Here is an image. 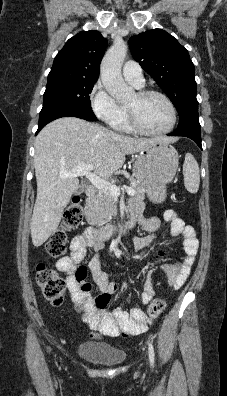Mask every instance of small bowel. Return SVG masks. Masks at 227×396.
<instances>
[{
    "label": "small bowel",
    "mask_w": 227,
    "mask_h": 396,
    "mask_svg": "<svg viewBox=\"0 0 227 396\" xmlns=\"http://www.w3.org/2000/svg\"><path fill=\"white\" fill-rule=\"evenodd\" d=\"M131 216L136 220L143 230L147 232L158 231L162 227V222L154 216H145L143 214V203L134 199L130 202ZM163 221L169 223L171 232L174 236L182 237L185 256L181 263L166 264L161 268V272L166 276L168 284L178 289L186 281L190 274L195 257L198 253L199 242L194 228L186 225L185 222L177 215L174 210H166L163 214ZM93 230L87 229L83 233L76 235L70 245V255L59 259L56 263L57 269L66 275V282L72 301L76 305H81L90 310L85 317V322L91 329V337L98 339L99 335L110 337H131L144 333L153 317L138 308H133L129 312L117 308L114 311L105 309L112 294L116 293L119 285L111 282L108 276L101 269L99 256L92 258L88 265L83 261L87 254L88 247H94L96 252L103 248L102 244H94L90 239ZM156 236L135 237L133 246L136 251H142L152 245ZM165 251L157 248L154 260L158 261L163 258ZM90 271L93 275L94 282L101 291L94 301L92 299V286L86 281ZM155 272H149L143 283V290L140 295V302L148 305L153 300ZM98 307L97 309L95 308Z\"/></svg>",
    "instance_id": "c3829d8e"
}]
</instances>
